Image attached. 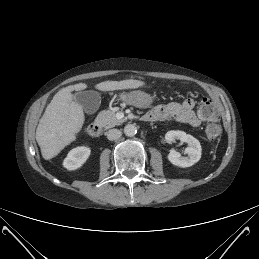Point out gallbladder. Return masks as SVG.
<instances>
[{"mask_svg": "<svg viewBox=\"0 0 259 259\" xmlns=\"http://www.w3.org/2000/svg\"><path fill=\"white\" fill-rule=\"evenodd\" d=\"M76 102L82 104L86 113H94L100 105V95L96 91L80 92L74 95Z\"/></svg>", "mask_w": 259, "mask_h": 259, "instance_id": "gallbladder-1", "label": "gallbladder"}]
</instances>
